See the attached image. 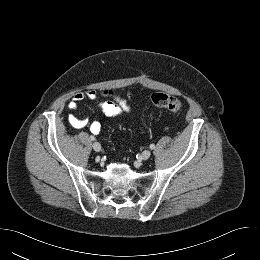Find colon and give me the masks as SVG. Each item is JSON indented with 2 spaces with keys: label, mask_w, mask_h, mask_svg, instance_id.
Segmentation results:
<instances>
[{
  "label": "colon",
  "mask_w": 260,
  "mask_h": 260,
  "mask_svg": "<svg viewBox=\"0 0 260 260\" xmlns=\"http://www.w3.org/2000/svg\"><path fill=\"white\" fill-rule=\"evenodd\" d=\"M152 104L158 109L178 112L182 109V103L174 96L165 93H154L151 96Z\"/></svg>",
  "instance_id": "colon-1"
}]
</instances>
